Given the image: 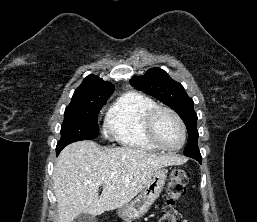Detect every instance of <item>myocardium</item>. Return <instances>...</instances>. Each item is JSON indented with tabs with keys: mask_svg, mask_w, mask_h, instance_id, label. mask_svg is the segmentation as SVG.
I'll list each match as a JSON object with an SVG mask.
<instances>
[{
	"mask_svg": "<svg viewBox=\"0 0 257 222\" xmlns=\"http://www.w3.org/2000/svg\"><path fill=\"white\" fill-rule=\"evenodd\" d=\"M162 112H166V113H169L170 115H172L174 117V119L177 121V123L181 129L182 140H181V143L177 147H174V148L166 147L159 141V139L155 133V129H154L155 120H156L157 116ZM144 129H145V133H146L148 139L160 150L167 151V152H176V151H179L180 149H182L186 143L187 131H186V126L184 124V121L182 120V118L179 116V114L175 110H173L169 107L156 106L152 110H150L145 118Z\"/></svg>",
	"mask_w": 257,
	"mask_h": 222,
	"instance_id": "obj_1",
	"label": "myocardium"
}]
</instances>
